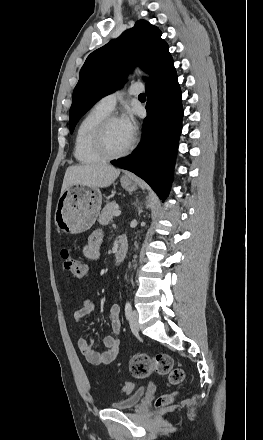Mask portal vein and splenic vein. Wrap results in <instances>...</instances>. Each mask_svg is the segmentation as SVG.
Wrapping results in <instances>:
<instances>
[{
    "mask_svg": "<svg viewBox=\"0 0 263 440\" xmlns=\"http://www.w3.org/2000/svg\"><path fill=\"white\" fill-rule=\"evenodd\" d=\"M121 212L119 210L115 211L114 215L115 216H120Z\"/></svg>",
    "mask_w": 263,
    "mask_h": 440,
    "instance_id": "obj_1",
    "label": "portal vein and splenic vein"
}]
</instances>
